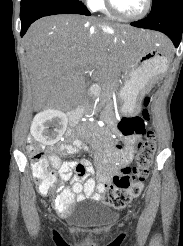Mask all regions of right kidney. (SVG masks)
Masks as SVG:
<instances>
[{"mask_svg":"<svg viewBox=\"0 0 183 246\" xmlns=\"http://www.w3.org/2000/svg\"><path fill=\"white\" fill-rule=\"evenodd\" d=\"M66 127V115L59 110L49 109L34 117L30 131L38 142L52 145L64 134Z\"/></svg>","mask_w":183,"mask_h":246,"instance_id":"obj_1","label":"right kidney"}]
</instances>
